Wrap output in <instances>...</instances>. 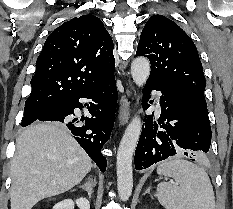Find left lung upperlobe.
I'll list each match as a JSON object with an SVG mask.
<instances>
[{
  "mask_svg": "<svg viewBox=\"0 0 233 209\" xmlns=\"http://www.w3.org/2000/svg\"><path fill=\"white\" fill-rule=\"evenodd\" d=\"M137 56L150 60V76L173 86L207 106L206 86L197 48L189 36L163 15L149 18L142 30Z\"/></svg>",
  "mask_w": 233,
  "mask_h": 209,
  "instance_id": "left-lung-upper-lobe-1",
  "label": "left lung upper lobe"
}]
</instances>
